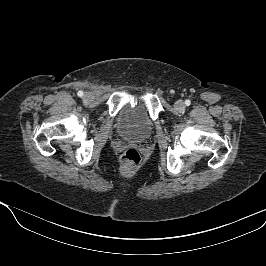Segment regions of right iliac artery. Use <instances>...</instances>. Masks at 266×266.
Masks as SVG:
<instances>
[{
	"label": "right iliac artery",
	"instance_id": "82829eb1",
	"mask_svg": "<svg viewBox=\"0 0 266 266\" xmlns=\"http://www.w3.org/2000/svg\"><path fill=\"white\" fill-rule=\"evenodd\" d=\"M83 91H79L78 93H77V95L79 96V97H82L83 96Z\"/></svg>",
	"mask_w": 266,
	"mask_h": 266
}]
</instances>
